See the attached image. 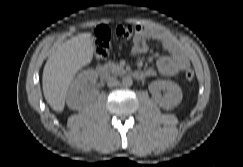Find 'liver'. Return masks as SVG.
<instances>
[{
  "mask_svg": "<svg viewBox=\"0 0 243 167\" xmlns=\"http://www.w3.org/2000/svg\"><path fill=\"white\" fill-rule=\"evenodd\" d=\"M93 43L91 33H81L50 54L44 66L42 84L44 97L54 111L61 113L64 110L71 81L82 67L92 61Z\"/></svg>",
  "mask_w": 243,
  "mask_h": 167,
  "instance_id": "1",
  "label": "liver"
}]
</instances>
